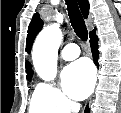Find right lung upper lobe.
<instances>
[{"label": "right lung upper lobe", "mask_w": 121, "mask_h": 113, "mask_svg": "<svg viewBox=\"0 0 121 113\" xmlns=\"http://www.w3.org/2000/svg\"><path fill=\"white\" fill-rule=\"evenodd\" d=\"M81 12L84 16V18L88 17L89 14V3L87 0H78ZM43 26V22L39 17L38 13H35L30 25L28 27V35H27V41H26V52L30 53L31 47H32V43L36 37V35L38 34V32L41 30ZM93 31H91L90 33H92ZM26 73H27V78H32L33 76V70L31 69V65L29 62H26Z\"/></svg>", "instance_id": "cb5924a9"}]
</instances>
